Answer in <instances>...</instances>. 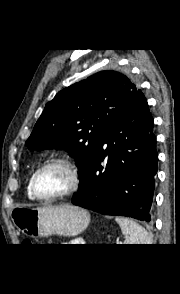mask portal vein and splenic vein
Returning <instances> with one entry per match:
<instances>
[{
  "mask_svg": "<svg viewBox=\"0 0 180 294\" xmlns=\"http://www.w3.org/2000/svg\"><path fill=\"white\" fill-rule=\"evenodd\" d=\"M122 242H117V244H121Z\"/></svg>",
  "mask_w": 180,
  "mask_h": 294,
  "instance_id": "1",
  "label": "portal vein and splenic vein"
}]
</instances>
